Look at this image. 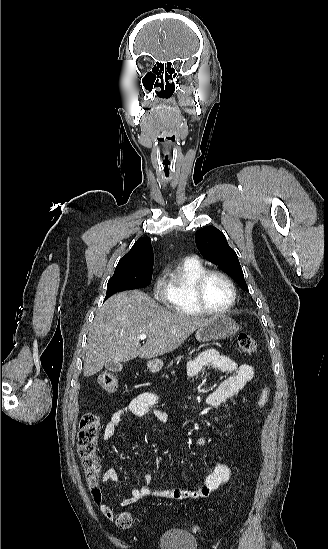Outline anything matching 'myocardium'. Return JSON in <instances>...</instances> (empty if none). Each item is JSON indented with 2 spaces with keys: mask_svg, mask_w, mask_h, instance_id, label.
I'll use <instances>...</instances> for the list:
<instances>
[{
  "mask_svg": "<svg viewBox=\"0 0 328 549\" xmlns=\"http://www.w3.org/2000/svg\"><path fill=\"white\" fill-rule=\"evenodd\" d=\"M213 275H218L224 278L230 285L232 297L230 303L223 308L222 310H210L202 305L206 304L204 298V286L207 279ZM238 298V290L235 281L233 278L224 270L219 267H209L201 272L198 277L195 279L193 284V299L195 304L192 305V309L200 315L210 316L214 318L224 317L232 312L234 309Z\"/></svg>",
  "mask_w": 328,
  "mask_h": 549,
  "instance_id": "1",
  "label": "myocardium"
}]
</instances>
